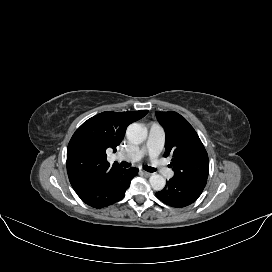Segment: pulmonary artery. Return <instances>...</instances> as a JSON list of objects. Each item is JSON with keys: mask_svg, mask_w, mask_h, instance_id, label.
<instances>
[{"mask_svg": "<svg viewBox=\"0 0 272 272\" xmlns=\"http://www.w3.org/2000/svg\"><path fill=\"white\" fill-rule=\"evenodd\" d=\"M164 143L165 133L163 129L157 124H151L148 128L145 144L140 149L129 153L119 154L118 157L135 162L142 159L145 155H148L152 164L157 167L162 175L166 178H172L174 176V171L156 160L164 147Z\"/></svg>", "mask_w": 272, "mask_h": 272, "instance_id": "pulmonary-artery-1", "label": "pulmonary artery"}]
</instances>
